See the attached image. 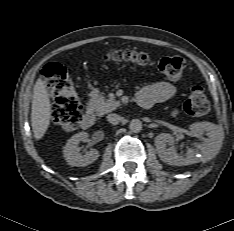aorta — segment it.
<instances>
[{"label":"aorta","instance_id":"aorta-1","mask_svg":"<svg viewBox=\"0 0 234 231\" xmlns=\"http://www.w3.org/2000/svg\"><path fill=\"white\" fill-rule=\"evenodd\" d=\"M143 124L139 119H132L129 124V129L131 132L138 133L142 130Z\"/></svg>","mask_w":234,"mask_h":231}]
</instances>
